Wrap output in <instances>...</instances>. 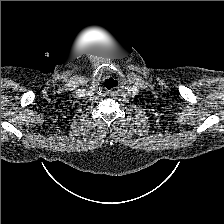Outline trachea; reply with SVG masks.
I'll return each mask as SVG.
<instances>
[{"label": "trachea", "mask_w": 224, "mask_h": 224, "mask_svg": "<svg viewBox=\"0 0 224 224\" xmlns=\"http://www.w3.org/2000/svg\"><path fill=\"white\" fill-rule=\"evenodd\" d=\"M118 85L117 80L113 79V78H107L104 81V87L108 90H111L112 88L116 87Z\"/></svg>", "instance_id": "obj_1"}]
</instances>
